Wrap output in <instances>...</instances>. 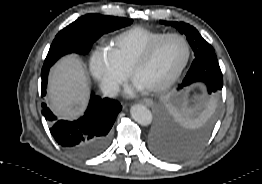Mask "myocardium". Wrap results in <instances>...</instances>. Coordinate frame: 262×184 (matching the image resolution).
Instances as JSON below:
<instances>
[{
	"label": "myocardium",
	"mask_w": 262,
	"mask_h": 184,
	"mask_svg": "<svg viewBox=\"0 0 262 184\" xmlns=\"http://www.w3.org/2000/svg\"><path fill=\"white\" fill-rule=\"evenodd\" d=\"M170 37L179 38L184 43L186 48V56L177 71L166 82L158 86L147 87L146 90L149 92H162L169 89L180 78L190 60L191 47L188 40L179 33H165L150 43L134 61L129 71L131 77L136 79L138 70L149 62L159 44Z\"/></svg>",
	"instance_id": "f54148a6"
}]
</instances>
